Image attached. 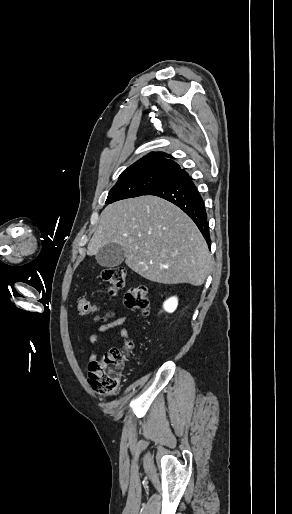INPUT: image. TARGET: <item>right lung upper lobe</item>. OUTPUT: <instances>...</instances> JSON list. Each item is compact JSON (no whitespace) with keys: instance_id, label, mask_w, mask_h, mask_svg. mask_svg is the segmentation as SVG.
<instances>
[{"instance_id":"right-lung-upper-lobe-1","label":"right lung upper lobe","mask_w":292,"mask_h":514,"mask_svg":"<svg viewBox=\"0 0 292 514\" xmlns=\"http://www.w3.org/2000/svg\"><path fill=\"white\" fill-rule=\"evenodd\" d=\"M171 155L160 152H151L144 156L130 167L125 169L121 174H135L142 172H165L170 175L183 171L180 165L174 162Z\"/></svg>"}]
</instances>
